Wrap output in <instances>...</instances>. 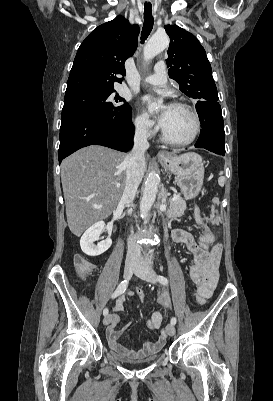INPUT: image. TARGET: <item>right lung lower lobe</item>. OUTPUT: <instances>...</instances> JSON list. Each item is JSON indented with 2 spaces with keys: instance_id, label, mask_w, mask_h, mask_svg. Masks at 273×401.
Returning <instances> with one entry per match:
<instances>
[{
  "instance_id": "right-lung-lower-lobe-1",
  "label": "right lung lower lobe",
  "mask_w": 273,
  "mask_h": 401,
  "mask_svg": "<svg viewBox=\"0 0 273 401\" xmlns=\"http://www.w3.org/2000/svg\"><path fill=\"white\" fill-rule=\"evenodd\" d=\"M132 121L120 123L90 115L62 120L60 127L59 162L76 150L89 145L107 146L127 152L133 146Z\"/></svg>"
}]
</instances>
